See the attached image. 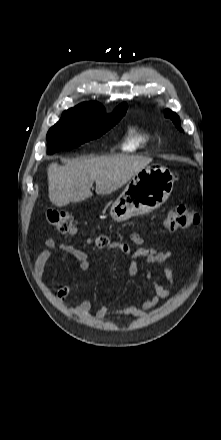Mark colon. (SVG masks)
I'll use <instances>...</instances> for the list:
<instances>
[{"mask_svg": "<svg viewBox=\"0 0 221 440\" xmlns=\"http://www.w3.org/2000/svg\"><path fill=\"white\" fill-rule=\"evenodd\" d=\"M49 223L60 233L74 235L77 231V222L68 212L49 210L46 214ZM199 222V215L185 205L173 207L167 214L164 227L170 232L187 229ZM110 243V238L105 235L98 236L94 245L104 248Z\"/></svg>", "mask_w": 221, "mask_h": 440, "instance_id": "obj_1", "label": "colon"}]
</instances>
